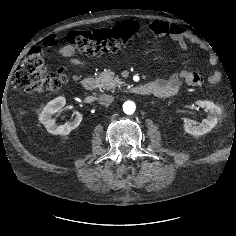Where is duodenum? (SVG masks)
Instances as JSON below:
<instances>
[{
	"label": "duodenum",
	"instance_id": "1",
	"mask_svg": "<svg viewBox=\"0 0 236 236\" xmlns=\"http://www.w3.org/2000/svg\"><path fill=\"white\" fill-rule=\"evenodd\" d=\"M82 86L88 91H93L96 89L97 82L95 78L88 76L82 80ZM130 92L136 95H150L153 93V87L150 84L134 85L130 88Z\"/></svg>",
	"mask_w": 236,
	"mask_h": 236
}]
</instances>
